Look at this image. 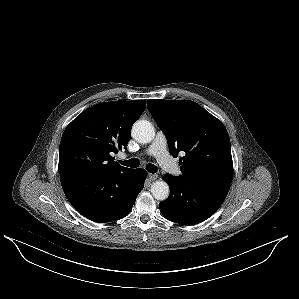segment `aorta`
<instances>
[{
  "label": "aorta",
  "instance_id": "762f6f07",
  "mask_svg": "<svg viewBox=\"0 0 299 299\" xmlns=\"http://www.w3.org/2000/svg\"><path fill=\"white\" fill-rule=\"evenodd\" d=\"M132 137L139 143H150L155 137V129L147 120H138L133 124ZM153 197L159 201H164L168 198L170 190L165 181H155L151 186Z\"/></svg>",
  "mask_w": 299,
  "mask_h": 299
}]
</instances>
